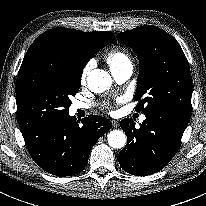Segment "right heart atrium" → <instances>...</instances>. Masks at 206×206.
Masks as SVG:
<instances>
[{"instance_id": "right-heart-atrium-1", "label": "right heart atrium", "mask_w": 206, "mask_h": 206, "mask_svg": "<svg viewBox=\"0 0 206 206\" xmlns=\"http://www.w3.org/2000/svg\"><path fill=\"white\" fill-rule=\"evenodd\" d=\"M93 67V63L90 61L88 62L85 67L83 68L81 75H80V80L82 83H84L86 81V78L88 76V73L90 72V70Z\"/></svg>"}]
</instances>
